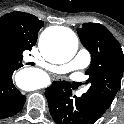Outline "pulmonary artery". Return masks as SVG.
<instances>
[{
	"label": "pulmonary artery",
	"mask_w": 124,
	"mask_h": 124,
	"mask_svg": "<svg viewBox=\"0 0 124 124\" xmlns=\"http://www.w3.org/2000/svg\"><path fill=\"white\" fill-rule=\"evenodd\" d=\"M91 62V54L86 49H80L77 55L69 63L63 65H40L43 70L56 74H64L72 70L84 69ZM78 96L82 95V92L77 93Z\"/></svg>",
	"instance_id": "obj_1"
}]
</instances>
